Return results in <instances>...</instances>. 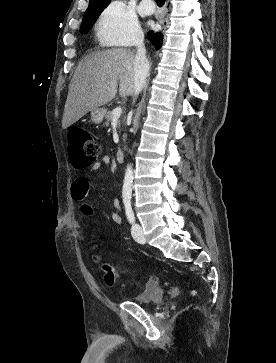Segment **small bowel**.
<instances>
[{"mask_svg":"<svg viewBox=\"0 0 276 363\" xmlns=\"http://www.w3.org/2000/svg\"><path fill=\"white\" fill-rule=\"evenodd\" d=\"M109 158L107 156L101 157L100 160L91 166L92 171L100 169L103 165L108 164ZM90 191V183L87 178L78 177L71 185V196L76 202L82 203L81 212L85 216H92L93 209L90 204L87 203V199ZM113 207L115 212L112 215V220L115 224L120 225L122 223V217L120 215V201L118 199L113 200Z\"/></svg>","mask_w":276,"mask_h":363,"instance_id":"c3829d8e","label":"small bowel"}]
</instances>
